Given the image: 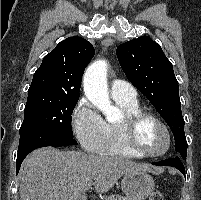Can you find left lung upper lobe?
Instances as JSON below:
<instances>
[{
    "instance_id": "left-lung-upper-lobe-1",
    "label": "left lung upper lobe",
    "mask_w": 201,
    "mask_h": 200,
    "mask_svg": "<svg viewBox=\"0 0 201 200\" xmlns=\"http://www.w3.org/2000/svg\"><path fill=\"white\" fill-rule=\"evenodd\" d=\"M116 54L127 78L169 125L175 139V150L185 159L187 141L178 81L161 46L142 36L119 45Z\"/></svg>"
}]
</instances>
